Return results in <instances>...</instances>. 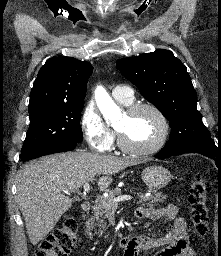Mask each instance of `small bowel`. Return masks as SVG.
<instances>
[{"mask_svg":"<svg viewBox=\"0 0 221 256\" xmlns=\"http://www.w3.org/2000/svg\"><path fill=\"white\" fill-rule=\"evenodd\" d=\"M177 207L168 204L160 208H138L136 216L153 221L173 220L174 227L165 235L148 237L139 235L131 238L124 248V256H140L144 251L162 247L151 256H195L189 245L186 222L177 215Z\"/></svg>","mask_w":221,"mask_h":256,"instance_id":"small-bowel-1","label":"small bowel"}]
</instances>
